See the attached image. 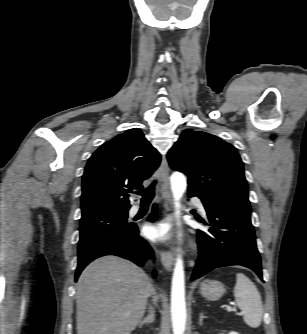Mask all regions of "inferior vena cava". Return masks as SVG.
Listing matches in <instances>:
<instances>
[{"mask_svg":"<svg viewBox=\"0 0 307 334\" xmlns=\"http://www.w3.org/2000/svg\"><path fill=\"white\" fill-rule=\"evenodd\" d=\"M153 294H155V293L153 292ZM156 299H157L156 296H154V301H156Z\"/></svg>","mask_w":307,"mask_h":334,"instance_id":"1","label":"inferior vena cava"}]
</instances>
